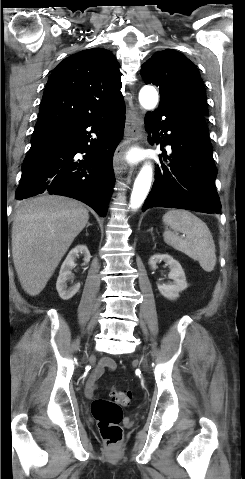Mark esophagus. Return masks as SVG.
<instances>
[{
  "mask_svg": "<svg viewBox=\"0 0 245 479\" xmlns=\"http://www.w3.org/2000/svg\"><path fill=\"white\" fill-rule=\"evenodd\" d=\"M143 115L138 108H132L126 117L125 139L122 145L116 150L114 155V168L117 171L121 164L126 163L125 155L127 151L135 145H139L143 140Z\"/></svg>",
  "mask_w": 245,
  "mask_h": 479,
  "instance_id": "34e87169",
  "label": "esophagus"
}]
</instances>
